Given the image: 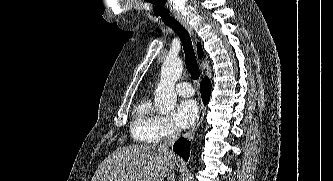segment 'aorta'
<instances>
[{
	"label": "aorta",
	"instance_id": "aorta-1",
	"mask_svg": "<svg viewBox=\"0 0 333 181\" xmlns=\"http://www.w3.org/2000/svg\"><path fill=\"white\" fill-rule=\"evenodd\" d=\"M183 70L182 61L179 58H167L161 68V79L155 91V104L163 114L174 110L177 102V94L174 86Z\"/></svg>",
	"mask_w": 333,
	"mask_h": 181
}]
</instances>
